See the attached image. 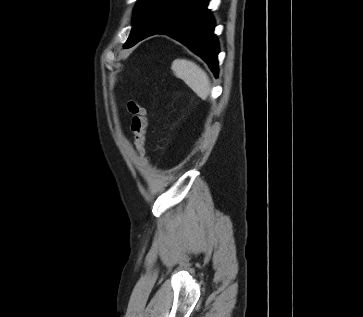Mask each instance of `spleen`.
I'll return each instance as SVG.
<instances>
[{"instance_id": "obj_1", "label": "spleen", "mask_w": 363, "mask_h": 317, "mask_svg": "<svg viewBox=\"0 0 363 317\" xmlns=\"http://www.w3.org/2000/svg\"><path fill=\"white\" fill-rule=\"evenodd\" d=\"M171 69L176 77L182 79L200 98L208 97L211 90L210 80L207 73L197 64L186 59H176Z\"/></svg>"}]
</instances>
